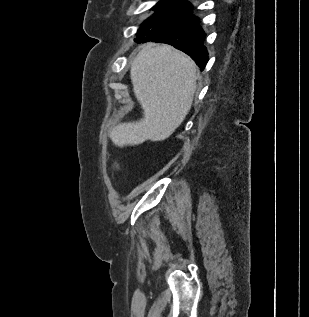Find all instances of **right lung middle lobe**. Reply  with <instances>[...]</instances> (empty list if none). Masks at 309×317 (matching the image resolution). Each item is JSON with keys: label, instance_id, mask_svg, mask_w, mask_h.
I'll return each mask as SVG.
<instances>
[{"label": "right lung middle lobe", "instance_id": "right-lung-middle-lobe-1", "mask_svg": "<svg viewBox=\"0 0 309 317\" xmlns=\"http://www.w3.org/2000/svg\"><path fill=\"white\" fill-rule=\"evenodd\" d=\"M176 2V0H161L160 2L157 3V5L153 9H161L171 3Z\"/></svg>", "mask_w": 309, "mask_h": 317}]
</instances>
